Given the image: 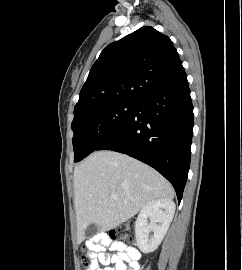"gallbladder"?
I'll list each match as a JSON object with an SVG mask.
<instances>
[{
  "instance_id": "1",
  "label": "gallbladder",
  "mask_w": 242,
  "mask_h": 270,
  "mask_svg": "<svg viewBox=\"0 0 242 270\" xmlns=\"http://www.w3.org/2000/svg\"><path fill=\"white\" fill-rule=\"evenodd\" d=\"M97 226L95 224H90L86 230H85V234L87 236H91L92 234H94L97 231Z\"/></svg>"
}]
</instances>
